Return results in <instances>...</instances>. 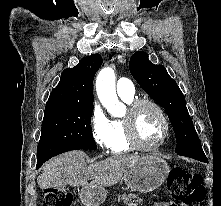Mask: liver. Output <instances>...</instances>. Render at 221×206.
Listing matches in <instances>:
<instances>
[{
    "mask_svg": "<svg viewBox=\"0 0 221 206\" xmlns=\"http://www.w3.org/2000/svg\"><path fill=\"white\" fill-rule=\"evenodd\" d=\"M83 151H70L52 159L43 167L37 182L40 188L56 186L54 180L63 181L65 186H111L140 159L136 156L115 155L90 165ZM92 179L91 183L88 180Z\"/></svg>",
    "mask_w": 221,
    "mask_h": 206,
    "instance_id": "obj_1",
    "label": "liver"
}]
</instances>
